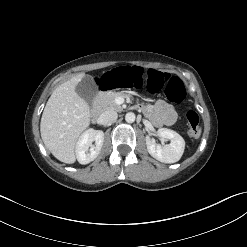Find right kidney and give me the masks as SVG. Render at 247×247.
<instances>
[{
  "mask_svg": "<svg viewBox=\"0 0 247 247\" xmlns=\"http://www.w3.org/2000/svg\"><path fill=\"white\" fill-rule=\"evenodd\" d=\"M95 141V144L92 143ZM104 142V133L101 130L88 129L79 138L75 152L80 164H88L99 155Z\"/></svg>",
  "mask_w": 247,
  "mask_h": 247,
  "instance_id": "obj_1",
  "label": "right kidney"
}]
</instances>
